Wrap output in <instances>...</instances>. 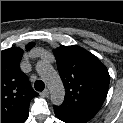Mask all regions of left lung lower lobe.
Here are the masks:
<instances>
[{"label":"left lung lower lobe","mask_w":123,"mask_h":123,"mask_svg":"<svg viewBox=\"0 0 123 123\" xmlns=\"http://www.w3.org/2000/svg\"><path fill=\"white\" fill-rule=\"evenodd\" d=\"M60 120H62V121H64L65 123H70V122H68V121H66V120H63V119H61V118H59Z\"/></svg>","instance_id":"1"}]
</instances>
